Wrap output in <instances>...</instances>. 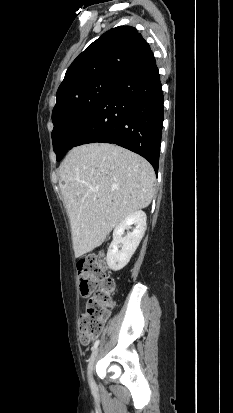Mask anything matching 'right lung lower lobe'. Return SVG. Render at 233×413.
I'll use <instances>...</instances> for the list:
<instances>
[{
  "instance_id": "obj_1",
  "label": "right lung lower lobe",
  "mask_w": 233,
  "mask_h": 413,
  "mask_svg": "<svg viewBox=\"0 0 233 413\" xmlns=\"http://www.w3.org/2000/svg\"><path fill=\"white\" fill-rule=\"evenodd\" d=\"M164 97L150 50L116 77L72 146L114 143L147 159L158 172Z\"/></svg>"
}]
</instances>
